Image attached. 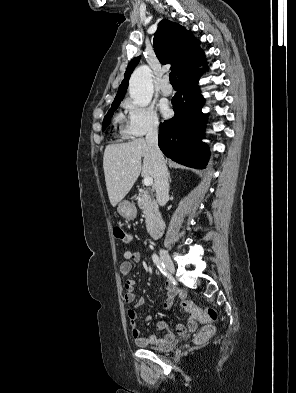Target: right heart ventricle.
<instances>
[{
  "instance_id": "right-heart-ventricle-1",
  "label": "right heart ventricle",
  "mask_w": 296,
  "mask_h": 393,
  "mask_svg": "<svg viewBox=\"0 0 296 393\" xmlns=\"http://www.w3.org/2000/svg\"><path fill=\"white\" fill-rule=\"evenodd\" d=\"M121 119H122V116L119 115V116H118V120L121 121ZM127 133H128L127 130L121 129V134H122L123 136H125Z\"/></svg>"
}]
</instances>
